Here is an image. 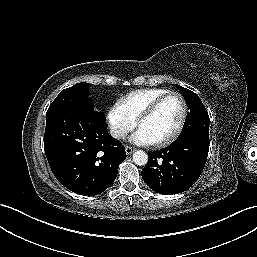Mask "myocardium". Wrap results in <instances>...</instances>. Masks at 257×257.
<instances>
[{"mask_svg": "<svg viewBox=\"0 0 257 257\" xmlns=\"http://www.w3.org/2000/svg\"><path fill=\"white\" fill-rule=\"evenodd\" d=\"M171 96H177L181 103H182V116L180 119V122L177 126V128L175 129V131L168 136L165 139H162L160 141L154 142L153 145L157 146V147H163V146H167L171 143H173L182 133L184 126L186 124L187 121V117H188V104L186 102V99L184 98V96L177 92V91H170L164 95H162L161 97L157 98L154 102H152L143 112L142 114L138 117L137 119V126L139 127L140 124L147 118H149L150 116H152L156 110L160 107V105L169 97Z\"/></svg>", "mask_w": 257, "mask_h": 257, "instance_id": "obj_1", "label": "myocardium"}]
</instances>
